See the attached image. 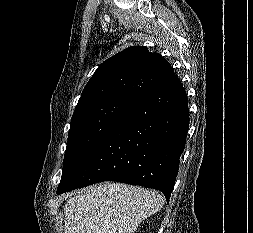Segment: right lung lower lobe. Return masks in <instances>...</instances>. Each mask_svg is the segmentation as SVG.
<instances>
[{"instance_id":"obj_1","label":"right lung lower lobe","mask_w":253,"mask_h":233,"mask_svg":"<svg viewBox=\"0 0 253 233\" xmlns=\"http://www.w3.org/2000/svg\"><path fill=\"white\" fill-rule=\"evenodd\" d=\"M189 128L187 95L172 75L139 97L60 181L57 194L97 182L154 188L169 202Z\"/></svg>"}]
</instances>
